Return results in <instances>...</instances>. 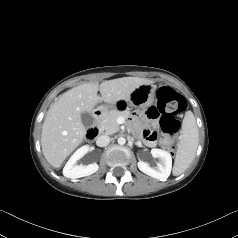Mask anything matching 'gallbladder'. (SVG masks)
<instances>
[{"label": "gallbladder", "instance_id": "bac80fb5", "mask_svg": "<svg viewBox=\"0 0 238 238\" xmlns=\"http://www.w3.org/2000/svg\"><path fill=\"white\" fill-rule=\"evenodd\" d=\"M81 121L85 127H89L93 123V117L88 112H83L81 114Z\"/></svg>", "mask_w": 238, "mask_h": 238}]
</instances>
